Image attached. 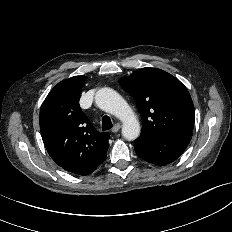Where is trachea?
I'll list each match as a JSON object with an SVG mask.
<instances>
[{
  "mask_svg": "<svg viewBox=\"0 0 232 232\" xmlns=\"http://www.w3.org/2000/svg\"><path fill=\"white\" fill-rule=\"evenodd\" d=\"M113 127L112 121L109 116H104L102 118V130H109Z\"/></svg>",
  "mask_w": 232,
  "mask_h": 232,
  "instance_id": "trachea-1",
  "label": "trachea"
}]
</instances>
